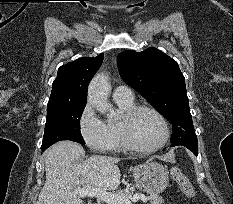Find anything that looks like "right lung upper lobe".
Masks as SVG:
<instances>
[{
    "instance_id": "right-lung-upper-lobe-1",
    "label": "right lung upper lobe",
    "mask_w": 233,
    "mask_h": 204,
    "mask_svg": "<svg viewBox=\"0 0 233 204\" xmlns=\"http://www.w3.org/2000/svg\"><path fill=\"white\" fill-rule=\"evenodd\" d=\"M103 58V54L83 57L59 67L48 105L86 102L87 85L101 66Z\"/></svg>"
}]
</instances>
